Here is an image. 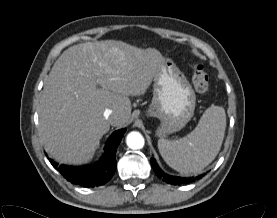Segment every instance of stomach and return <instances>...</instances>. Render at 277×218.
Segmentation results:
<instances>
[{
	"label": "stomach",
	"mask_w": 277,
	"mask_h": 218,
	"mask_svg": "<svg viewBox=\"0 0 277 218\" xmlns=\"http://www.w3.org/2000/svg\"><path fill=\"white\" fill-rule=\"evenodd\" d=\"M153 82L147 114L160 120L157 135L181 130L193 117L196 106L191 84L171 59H164Z\"/></svg>",
	"instance_id": "stomach-1"
}]
</instances>
